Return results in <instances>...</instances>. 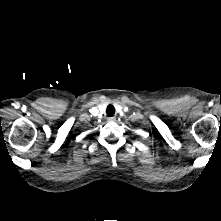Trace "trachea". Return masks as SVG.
Wrapping results in <instances>:
<instances>
[{
    "instance_id": "3493384b",
    "label": "trachea",
    "mask_w": 221,
    "mask_h": 221,
    "mask_svg": "<svg viewBox=\"0 0 221 221\" xmlns=\"http://www.w3.org/2000/svg\"><path fill=\"white\" fill-rule=\"evenodd\" d=\"M106 113L108 117H112L115 114V108L113 105H108L106 109Z\"/></svg>"
}]
</instances>
